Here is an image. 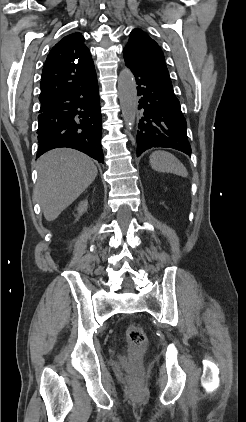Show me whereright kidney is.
<instances>
[{"instance_id":"1","label":"right kidney","mask_w":246,"mask_h":422,"mask_svg":"<svg viewBox=\"0 0 246 422\" xmlns=\"http://www.w3.org/2000/svg\"><path fill=\"white\" fill-rule=\"evenodd\" d=\"M87 207H88V201L87 200H84L79 204V206L77 208L79 216H81L85 211H87Z\"/></svg>"}]
</instances>
